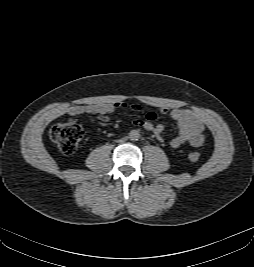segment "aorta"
<instances>
[{"instance_id": "1", "label": "aorta", "mask_w": 254, "mask_h": 267, "mask_svg": "<svg viewBox=\"0 0 254 267\" xmlns=\"http://www.w3.org/2000/svg\"><path fill=\"white\" fill-rule=\"evenodd\" d=\"M140 138L138 130H131L129 133V139L132 141H137Z\"/></svg>"}]
</instances>
